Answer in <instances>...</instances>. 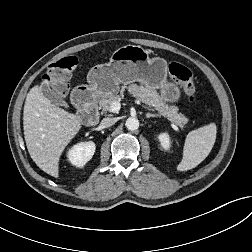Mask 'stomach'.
Wrapping results in <instances>:
<instances>
[{
	"instance_id": "stomach-1",
	"label": "stomach",
	"mask_w": 252,
	"mask_h": 252,
	"mask_svg": "<svg viewBox=\"0 0 252 252\" xmlns=\"http://www.w3.org/2000/svg\"><path fill=\"white\" fill-rule=\"evenodd\" d=\"M138 81L150 89H161L167 102H178L179 87L167 81V62L161 57L150 58L141 46L118 48L105 64L94 66L87 75L88 85H79L73 91L108 97L119 92L120 84Z\"/></svg>"
}]
</instances>
